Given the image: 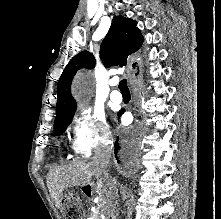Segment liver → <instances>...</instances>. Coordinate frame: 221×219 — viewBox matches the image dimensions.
<instances>
[{"mask_svg": "<svg viewBox=\"0 0 221 219\" xmlns=\"http://www.w3.org/2000/svg\"><path fill=\"white\" fill-rule=\"evenodd\" d=\"M92 177L97 178L95 192L101 200L99 206L103 208L106 215L114 208L118 183L111 176L108 178L99 176L92 162L73 161L48 172L47 186L55 206L61 207V198L65 189L86 186L91 182Z\"/></svg>", "mask_w": 221, "mask_h": 219, "instance_id": "6515ba94", "label": "liver"}]
</instances>
